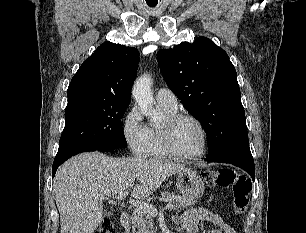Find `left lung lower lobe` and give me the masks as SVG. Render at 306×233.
I'll return each instance as SVG.
<instances>
[{
    "instance_id": "0a47b994",
    "label": "left lung lower lobe",
    "mask_w": 306,
    "mask_h": 233,
    "mask_svg": "<svg viewBox=\"0 0 306 233\" xmlns=\"http://www.w3.org/2000/svg\"><path fill=\"white\" fill-rule=\"evenodd\" d=\"M208 162H222L233 164L255 177V167L249 146L237 147L219 152L205 159Z\"/></svg>"
}]
</instances>
